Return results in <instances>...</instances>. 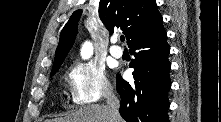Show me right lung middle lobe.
<instances>
[{
	"mask_svg": "<svg viewBox=\"0 0 221 122\" xmlns=\"http://www.w3.org/2000/svg\"><path fill=\"white\" fill-rule=\"evenodd\" d=\"M56 72H57V70H56V71L51 72V76H53V75H54Z\"/></svg>",
	"mask_w": 221,
	"mask_h": 122,
	"instance_id": "1",
	"label": "right lung middle lobe"
}]
</instances>
